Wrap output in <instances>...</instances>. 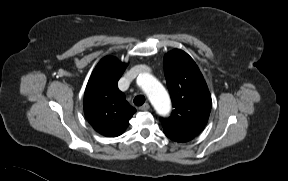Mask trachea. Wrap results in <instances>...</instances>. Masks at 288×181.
Wrapping results in <instances>:
<instances>
[{
	"label": "trachea",
	"mask_w": 288,
	"mask_h": 181,
	"mask_svg": "<svg viewBox=\"0 0 288 181\" xmlns=\"http://www.w3.org/2000/svg\"><path fill=\"white\" fill-rule=\"evenodd\" d=\"M145 102V97L143 95H138L134 98V104L141 106Z\"/></svg>",
	"instance_id": "3493384b"
}]
</instances>
